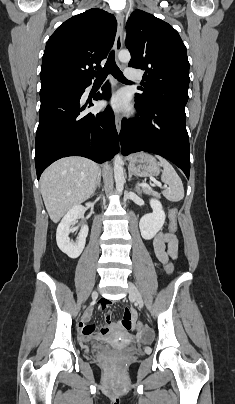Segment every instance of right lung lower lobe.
Returning <instances> with one entry per match:
<instances>
[{
	"label": "right lung lower lobe",
	"mask_w": 235,
	"mask_h": 404,
	"mask_svg": "<svg viewBox=\"0 0 235 404\" xmlns=\"http://www.w3.org/2000/svg\"><path fill=\"white\" fill-rule=\"evenodd\" d=\"M91 82L74 84L73 89L40 96L39 125L36 132L35 166L37 178L54 161L67 156H83L97 163L113 158L119 150L114 114L109 107L103 112L85 114L93 104L82 105L81 96ZM95 100L108 98L110 86Z\"/></svg>",
	"instance_id": "98d812e1"
}]
</instances>
